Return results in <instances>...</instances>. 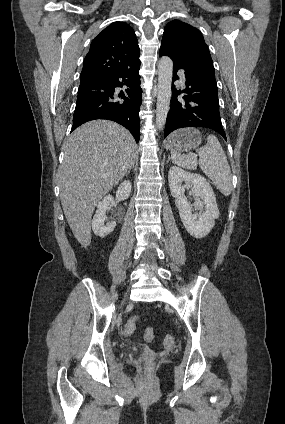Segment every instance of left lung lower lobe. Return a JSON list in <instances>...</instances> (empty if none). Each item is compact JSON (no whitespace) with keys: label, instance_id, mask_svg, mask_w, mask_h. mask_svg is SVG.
Wrapping results in <instances>:
<instances>
[{"label":"left lung lower lobe","instance_id":"obj_1","mask_svg":"<svg viewBox=\"0 0 285 424\" xmlns=\"http://www.w3.org/2000/svg\"><path fill=\"white\" fill-rule=\"evenodd\" d=\"M167 55L173 60V74L185 71L186 88L172 87L170 110L166 120L164 138L172 131L184 127H205L218 132L226 139L219 113L218 90L213 62L204 59L183 60L164 47L159 56ZM183 94V96H179Z\"/></svg>","mask_w":285,"mask_h":424}]
</instances>
